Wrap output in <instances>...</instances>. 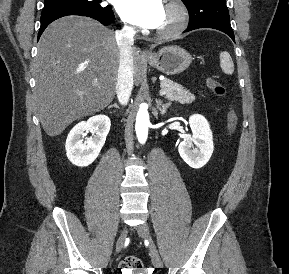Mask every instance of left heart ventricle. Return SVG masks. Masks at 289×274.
<instances>
[{
    "mask_svg": "<svg viewBox=\"0 0 289 274\" xmlns=\"http://www.w3.org/2000/svg\"><path fill=\"white\" fill-rule=\"evenodd\" d=\"M175 19H176V15H175L174 11L167 9L165 7L162 21H161L160 25L157 27V29H163V28L170 27L175 22Z\"/></svg>",
    "mask_w": 289,
    "mask_h": 274,
    "instance_id": "obj_1",
    "label": "left heart ventricle"
}]
</instances>
